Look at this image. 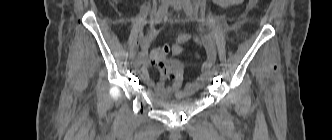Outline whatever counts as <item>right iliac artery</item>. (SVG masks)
<instances>
[{
  "instance_id": "82829eb1",
  "label": "right iliac artery",
  "mask_w": 332,
  "mask_h": 140,
  "mask_svg": "<svg viewBox=\"0 0 332 140\" xmlns=\"http://www.w3.org/2000/svg\"><path fill=\"white\" fill-rule=\"evenodd\" d=\"M167 11H168V4L160 6L159 9L157 10V12L155 13L153 22H155V23L160 22L162 20V18L167 14ZM146 52H147V50H146V41L143 40L141 42L140 54L145 56Z\"/></svg>"
}]
</instances>
